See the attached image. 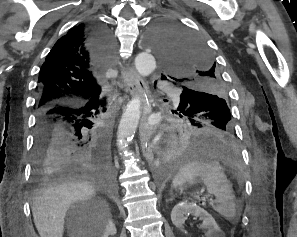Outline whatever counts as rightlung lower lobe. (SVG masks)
<instances>
[{
	"label": "right lung lower lobe",
	"instance_id": "1",
	"mask_svg": "<svg viewBox=\"0 0 297 237\" xmlns=\"http://www.w3.org/2000/svg\"><path fill=\"white\" fill-rule=\"evenodd\" d=\"M93 46L99 56L111 51L107 29L95 24ZM100 98L80 104H57L37 111L34 141L33 178L36 182L63 178L72 174L91 173L111 177L113 167L108 140L102 128L91 136L93 110Z\"/></svg>",
	"mask_w": 297,
	"mask_h": 237
}]
</instances>
